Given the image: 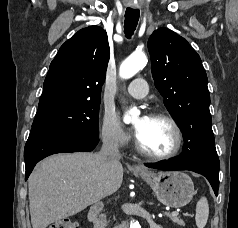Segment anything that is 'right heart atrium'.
<instances>
[{"instance_id": "obj_1", "label": "right heart atrium", "mask_w": 238, "mask_h": 228, "mask_svg": "<svg viewBox=\"0 0 238 228\" xmlns=\"http://www.w3.org/2000/svg\"><path fill=\"white\" fill-rule=\"evenodd\" d=\"M100 137L103 143L115 148L124 147L129 137L123 130L116 114L112 110H105L101 120Z\"/></svg>"}]
</instances>
